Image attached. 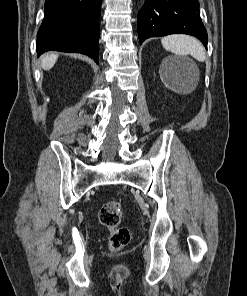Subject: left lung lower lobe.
I'll use <instances>...</instances> for the list:
<instances>
[{"label":"left lung lower lobe","mask_w":247,"mask_h":296,"mask_svg":"<svg viewBox=\"0 0 247 296\" xmlns=\"http://www.w3.org/2000/svg\"><path fill=\"white\" fill-rule=\"evenodd\" d=\"M137 23L140 44L150 37L183 33L197 37L207 48L198 0H146Z\"/></svg>","instance_id":"0a47b994"}]
</instances>
